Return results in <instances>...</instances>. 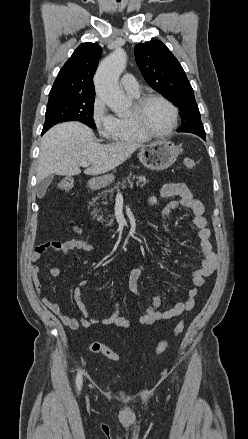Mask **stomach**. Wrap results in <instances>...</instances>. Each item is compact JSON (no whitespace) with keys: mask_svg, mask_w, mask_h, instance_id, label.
<instances>
[{"mask_svg":"<svg viewBox=\"0 0 248 439\" xmlns=\"http://www.w3.org/2000/svg\"><path fill=\"white\" fill-rule=\"evenodd\" d=\"M180 148L171 141L162 139L147 145H142L139 149L138 157L140 162L147 168L161 171L169 168L176 161ZM114 181L113 174H106L94 177L89 180L91 189H100L108 186Z\"/></svg>","mask_w":248,"mask_h":439,"instance_id":"stomach-1","label":"stomach"}]
</instances>
